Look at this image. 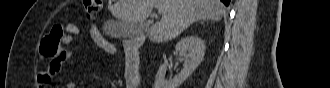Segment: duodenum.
Returning <instances> with one entry per match:
<instances>
[{
	"instance_id": "410a0bca",
	"label": "duodenum",
	"mask_w": 330,
	"mask_h": 88,
	"mask_svg": "<svg viewBox=\"0 0 330 88\" xmlns=\"http://www.w3.org/2000/svg\"><path fill=\"white\" fill-rule=\"evenodd\" d=\"M142 42V37H136L129 40L124 45L125 53L127 55V64L132 68L131 70L127 69L126 76H131L129 83L133 86L139 81V60Z\"/></svg>"
}]
</instances>
